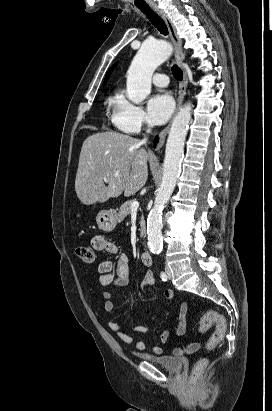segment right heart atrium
Segmentation results:
<instances>
[{
    "mask_svg": "<svg viewBox=\"0 0 272 411\" xmlns=\"http://www.w3.org/2000/svg\"><path fill=\"white\" fill-rule=\"evenodd\" d=\"M111 121L113 125L125 133H139L143 127L149 125V120L144 110L131 102L119 92L111 103Z\"/></svg>",
    "mask_w": 272,
    "mask_h": 411,
    "instance_id": "right-heart-atrium-1",
    "label": "right heart atrium"
}]
</instances>
